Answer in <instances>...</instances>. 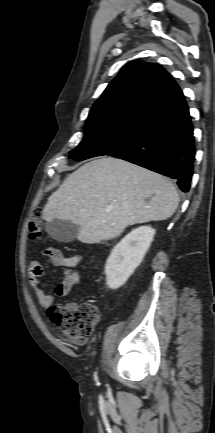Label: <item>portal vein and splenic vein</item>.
Returning <instances> with one entry per match:
<instances>
[{
	"mask_svg": "<svg viewBox=\"0 0 215 433\" xmlns=\"http://www.w3.org/2000/svg\"><path fill=\"white\" fill-rule=\"evenodd\" d=\"M106 212H110V209H106Z\"/></svg>",
	"mask_w": 215,
	"mask_h": 433,
	"instance_id": "obj_1",
	"label": "portal vein and splenic vein"
}]
</instances>
